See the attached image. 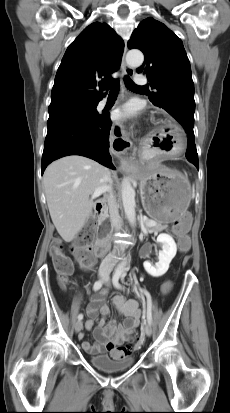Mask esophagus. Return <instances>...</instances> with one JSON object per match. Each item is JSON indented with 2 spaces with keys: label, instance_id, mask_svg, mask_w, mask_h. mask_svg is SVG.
<instances>
[{
  "label": "esophagus",
  "instance_id": "1",
  "mask_svg": "<svg viewBox=\"0 0 230 413\" xmlns=\"http://www.w3.org/2000/svg\"><path fill=\"white\" fill-rule=\"evenodd\" d=\"M126 51H127V46L125 44L124 52H123V56H122V68L124 70L125 75H128V76L131 77V76L134 75V70L131 67H129L126 63V59H125ZM124 134L125 133H122V136H124ZM123 143H124L125 147H123L121 150L124 152L130 146V143L127 139H125V141H123ZM118 151H120V150H118ZM120 168L125 170V169L128 168V164L125 161H121Z\"/></svg>",
  "mask_w": 230,
  "mask_h": 413
}]
</instances>
